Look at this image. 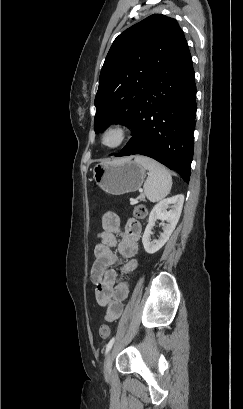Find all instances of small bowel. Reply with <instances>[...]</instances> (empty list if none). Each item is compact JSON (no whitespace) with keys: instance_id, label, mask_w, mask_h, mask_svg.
<instances>
[{"instance_id":"small-bowel-1","label":"small bowel","mask_w":243,"mask_h":409,"mask_svg":"<svg viewBox=\"0 0 243 409\" xmlns=\"http://www.w3.org/2000/svg\"><path fill=\"white\" fill-rule=\"evenodd\" d=\"M102 230L98 234V243L94 246L95 260L90 270L91 279L95 285V298L99 306L106 309L105 320L116 321L123 312V301L129 294L126 281L117 282L115 267L121 266L125 275L132 273L138 264L136 254L138 241L141 237V224L136 219L128 220L122 229L117 213L107 211L101 218ZM120 241H117V236ZM118 247L120 255L126 258L120 262L119 256L112 250Z\"/></svg>"}]
</instances>
